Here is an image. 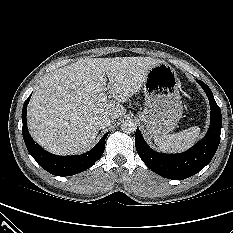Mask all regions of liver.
I'll list each match as a JSON object with an SVG mask.
<instances>
[{
	"label": "liver",
	"instance_id": "obj_1",
	"mask_svg": "<svg viewBox=\"0 0 233 233\" xmlns=\"http://www.w3.org/2000/svg\"><path fill=\"white\" fill-rule=\"evenodd\" d=\"M161 62L151 57H87L55 70L40 81L28 105L32 137L54 154L88 150L99 130L95 116L124 115L120 103L139 91L149 70ZM107 90L114 100L101 101L100 93Z\"/></svg>",
	"mask_w": 233,
	"mask_h": 233
}]
</instances>
